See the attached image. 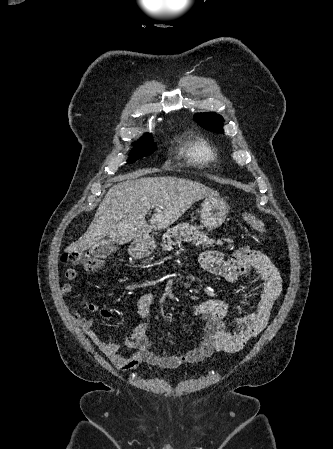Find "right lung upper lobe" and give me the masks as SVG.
<instances>
[{"label": "right lung upper lobe", "instance_id": "1", "mask_svg": "<svg viewBox=\"0 0 333 449\" xmlns=\"http://www.w3.org/2000/svg\"><path fill=\"white\" fill-rule=\"evenodd\" d=\"M146 137H147V136H145L144 138L140 139V141L146 139Z\"/></svg>", "mask_w": 333, "mask_h": 449}]
</instances>
